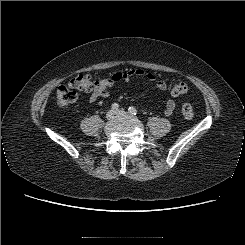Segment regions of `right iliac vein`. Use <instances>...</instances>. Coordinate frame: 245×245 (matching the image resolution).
<instances>
[{"instance_id": "63e3f726", "label": "right iliac vein", "mask_w": 245, "mask_h": 245, "mask_svg": "<svg viewBox=\"0 0 245 245\" xmlns=\"http://www.w3.org/2000/svg\"><path fill=\"white\" fill-rule=\"evenodd\" d=\"M114 115H115V111L109 110V111L107 112V114H106V118H107L108 120H111V119L114 118Z\"/></svg>"}]
</instances>
